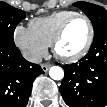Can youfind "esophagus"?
<instances>
[{"label":"esophagus","instance_id":"esophagus-1","mask_svg":"<svg viewBox=\"0 0 107 107\" xmlns=\"http://www.w3.org/2000/svg\"><path fill=\"white\" fill-rule=\"evenodd\" d=\"M50 67H51V64H41V68L44 72H47Z\"/></svg>","mask_w":107,"mask_h":107}]
</instances>
